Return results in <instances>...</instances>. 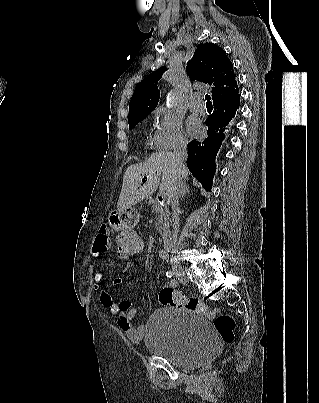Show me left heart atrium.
Masks as SVG:
<instances>
[{"mask_svg": "<svg viewBox=\"0 0 319 403\" xmlns=\"http://www.w3.org/2000/svg\"><path fill=\"white\" fill-rule=\"evenodd\" d=\"M187 128H188V132L191 135H197L201 132V127H200L199 123L193 118H190L188 120Z\"/></svg>", "mask_w": 319, "mask_h": 403, "instance_id": "39dd6f15", "label": "left heart atrium"}]
</instances>
